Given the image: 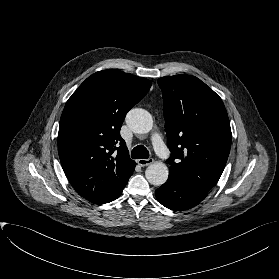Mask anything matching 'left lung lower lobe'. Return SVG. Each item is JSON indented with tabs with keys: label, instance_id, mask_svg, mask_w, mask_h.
Returning a JSON list of instances; mask_svg holds the SVG:
<instances>
[{
	"label": "left lung lower lobe",
	"instance_id": "obj_1",
	"mask_svg": "<svg viewBox=\"0 0 279 279\" xmlns=\"http://www.w3.org/2000/svg\"><path fill=\"white\" fill-rule=\"evenodd\" d=\"M208 191L183 182L169 174L167 182L155 191L157 200L166 208L184 211L198 205Z\"/></svg>",
	"mask_w": 279,
	"mask_h": 279
}]
</instances>
